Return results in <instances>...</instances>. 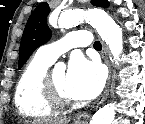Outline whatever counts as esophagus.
I'll return each mask as SVG.
<instances>
[{
  "label": "esophagus",
  "instance_id": "esophagus-1",
  "mask_svg": "<svg viewBox=\"0 0 145 124\" xmlns=\"http://www.w3.org/2000/svg\"><path fill=\"white\" fill-rule=\"evenodd\" d=\"M102 57L105 60V63L107 64V66L109 68V76H108L107 84H106V87H105L103 93L96 101V107L101 105L108 97L110 85H111V79H112V71H111V67H110V63H109V59H108V52H107V48L104 45V43H102ZM89 118H90V114L88 112L78 113L75 116V123L76 124H87L89 121Z\"/></svg>",
  "mask_w": 145,
  "mask_h": 124
}]
</instances>
